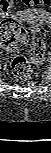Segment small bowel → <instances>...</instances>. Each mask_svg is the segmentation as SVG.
<instances>
[{
    "instance_id": "small-bowel-1",
    "label": "small bowel",
    "mask_w": 51,
    "mask_h": 153,
    "mask_svg": "<svg viewBox=\"0 0 51 153\" xmlns=\"http://www.w3.org/2000/svg\"><path fill=\"white\" fill-rule=\"evenodd\" d=\"M1 4H2V7L5 11H8L10 9V4L7 0H2Z\"/></svg>"
}]
</instances>
